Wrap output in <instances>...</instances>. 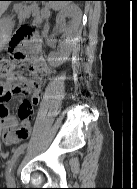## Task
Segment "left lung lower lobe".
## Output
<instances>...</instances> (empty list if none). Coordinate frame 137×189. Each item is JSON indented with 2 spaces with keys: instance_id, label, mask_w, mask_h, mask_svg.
<instances>
[{
  "instance_id": "1",
  "label": "left lung lower lobe",
  "mask_w": 137,
  "mask_h": 189,
  "mask_svg": "<svg viewBox=\"0 0 137 189\" xmlns=\"http://www.w3.org/2000/svg\"><path fill=\"white\" fill-rule=\"evenodd\" d=\"M71 1H86V0H71Z\"/></svg>"
}]
</instances>
